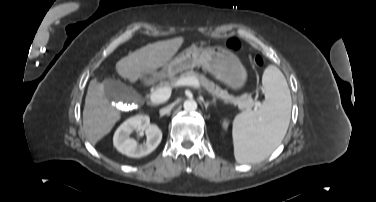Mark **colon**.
<instances>
[{
	"label": "colon",
	"instance_id": "5ec220e1",
	"mask_svg": "<svg viewBox=\"0 0 376 202\" xmlns=\"http://www.w3.org/2000/svg\"><path fill=\"white\" fill-rule=\"evenodd\" d=\"M226 45L230 50H232L235 53L240 52L241 49H242L241 42L236 38H232V39L228 40ZM250 60H251L252 64L257 68H262L264 66V60L261 56H258V55L253 56V57H251Z\"/></svg>",
	"mask_w": 376,
	"mask_h": 202
}]
</instances>
